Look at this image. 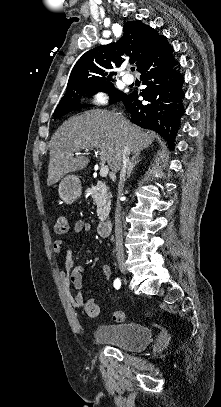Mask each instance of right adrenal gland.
Returning a JSON list of instances; mask_svg holds the SVG:
<instances>
[{"mask_svg": "<svg viewBox=\"0 0 221 407\" xmlns=\"http://www.w3.org/2000/svg\"><path fill=\"white\" fill-rule=\"evenodd\" d=\"M141 161L140 159V153L134 154L131 159L128 162V166H127V177L129 178L133 168L136 166V164H138Z\"/></svg>", "mask_w": 221, "mask_h": 407, "instance_id": "1", "label": "right adrenal gland"}]
</instances>
